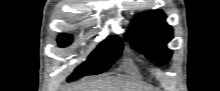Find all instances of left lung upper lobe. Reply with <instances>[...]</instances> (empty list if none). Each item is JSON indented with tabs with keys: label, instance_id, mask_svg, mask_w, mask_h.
Here are the masks:
<instances>
[{
	"label": "left lung upper lobe",
	"instance_id": "5c2ea615",
	"mask_svg": "<svg viewBox=\"0 0 220 91\" xmlns=\"http://www.w3.org/2000/svg\"><path fill=\"white\" fill-rule=\"evenodd\" d=\"M165 14L160 10L140 13L135 16L125 38L131 46L144 53L157 65L166 63L172 51L166 44L173 37L171 26L165 23Z\"/></svg>",
	"mask_w": 220,
	"mask_h": 91
}]
</instances>
